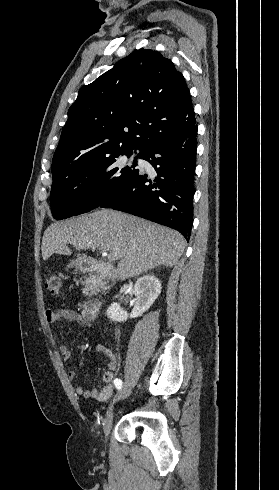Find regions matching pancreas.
Listing matches in <instances>:
<instances>
[{
	"label": "pancreas",
	"instance_id": "obj_1",
	"mask_svg": "<svg viewBox=\"0 0 279 490\" xmlns=\"http://www.w3.org/2000/svg\"><path fill=\"white\" fill-rule=\"evenodd\" d=\"M101 284H104V282H101L100 278H97V276H94V278H87L86 282H84L85 288L82 290L84 296H92V294H95V290H97Z\"/></svg>",
	"mask_w": 279,
	"mask_h": 490
}]
</instances>
